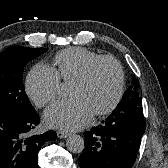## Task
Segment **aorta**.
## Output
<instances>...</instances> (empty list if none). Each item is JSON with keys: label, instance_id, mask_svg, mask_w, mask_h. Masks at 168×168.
Returning a JSON list of instances; mask_svg holds the SVG:
<instances>
[{"label": "aorta", "instance_id": "obj_1", "mask_svg": "<svg viewBox=\"0 0 168 168\" xmlns=\"http://www.w3.org/2000/svg\"><path fill=\"white\" fill-rule=\"evenodd\" d=\"M67 149L72 153H81L84 149V139L80 135H71L66 141Z\"/></svg>", "mask_w": 168, "mask_h": 168}]
</instances>
